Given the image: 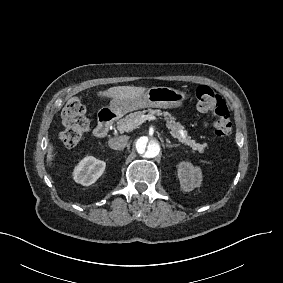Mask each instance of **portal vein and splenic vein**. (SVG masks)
<instances>
[{
	"label": "portal vein and splenic vein",
	"mask_w": 283,
	"mask_h": 283,
	"mask_svg": "<svg viewBox=\"0 0 283 283\" xmlns=\"http://www.w3.org/2000/svg\"><path fill=\"white\" fill-rule=\"evenodd\" d=\"M155 116L152 115H143L142 116V121L140 123H143L145 120H154Z\"/></svg>",
	"instance_id": "18ae733b"
}]
</instances>
